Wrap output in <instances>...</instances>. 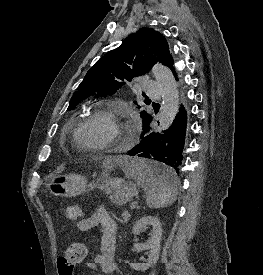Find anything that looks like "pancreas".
Segmentation results:
<instances>
[{
	"label": "pancreas",
	"mask_w": 263,
	"mask_h": 275,
	"mask_svg": "<svg viewBox=\"0 0 263 275\" xmlns=\"http://www.w3.org/2000/svg\"><path fill=\"white\" fill-rule=\"evenodd\" d=\"M122 218L125 222H127L130 219V214L128 213V211L123 212Z\"/></svg>",
	"instance_id": "pancreas-1"
}]
</instances>
